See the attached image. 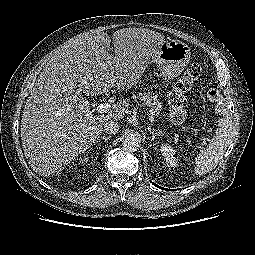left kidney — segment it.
I'll return each mask as SVG.
<instances>
[{"label":"left kidney","instance_id":"5707ae66","mask_svg":"<svg viewBox=\"0 0 255 255\" xmlns=\"http://www.w3.org/2000/svg\"><path fill=\"white\" fill-rule=\"evenodd\" d=\"M160 152L163 155L168 167L175 168L178 166V159L175 157L176 150L169 144H162Z\"/></svg>","mask_w":255,"mask_h":255}]
</instances>
